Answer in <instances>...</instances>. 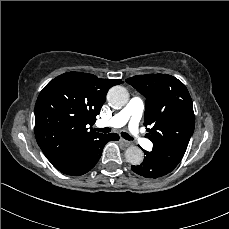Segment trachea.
Instances as JSON below:
<instances>
[{
  "label": "trachea",
  "mask_w": 229,
  "mask_h": 229,
  "mask_svg": "<svg viewBox=\"0 0 229 229\" xmlns=\"http://www.w3.org/2000/svg\"><path fill=\"white\" fill-rule=\"evenodd\" d=\"M95 131L101 132V133H109L111 131V128L105 127V128H95ZM121 136L126 140H134L133 137H131L128 133L121 132Z\"/></svg>",
  "instance_id": "3493384b"
}]
</instances>
